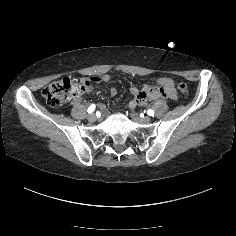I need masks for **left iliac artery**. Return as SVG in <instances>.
Listing matches in <instances>:
<instances>
[{"label": "left iliac artery", "mask_w": 236, "mask_h": 236, "mask_svg": "<svg viewBox=\"0 0 236 236\" xmlns=\"http://www.w3.org/2000/svg\"><path fill=\"white\" fill-rule=\"evenodd\" d=\"M147 114H148L149 116H154V111L151 110V109H149V110L147 111Z\"/></svg>", "instance_id": "obj_1"}]
</instances>
